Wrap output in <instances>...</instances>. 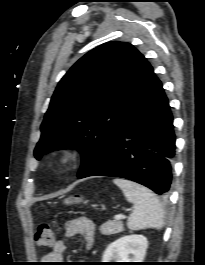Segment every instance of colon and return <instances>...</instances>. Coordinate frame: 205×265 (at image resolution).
I'll return each instance as SVG.
<instances>
[{
	"mask_svg": "<svg viewBox=\"0 0 205 265\" xmlns=\"http://www.w3.org/2000/svg\"><path fill=\"white\" fill-rule=\"evenodd\" d=\"M35 244L40 248H47L54 245L55 234L49 224H40L34 236Z\"/></svg>",
	"mask_w": 205,
	"mask_h": 265,
	"instance_id": "5ec220e1",
	"label": "colon"
}]
</instances>
